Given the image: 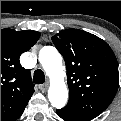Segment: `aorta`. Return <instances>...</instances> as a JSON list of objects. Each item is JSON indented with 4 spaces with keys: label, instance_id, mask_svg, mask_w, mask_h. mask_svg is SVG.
I'll return each mask as SVG.
<instances>
[{
    "label": "aorta",
    "instance_id": "aorta-1",
    "mask_svg": "<svg viewBox=\"0 0 121 121\" xmlns=\"http://www.w3.org/2000/svg\"><path fill=\"white\" fill-rule=\"evenodd\" d=\"M39 62L50 78L48 99L55 108H63L67 103L68 90L64 82L65 71L62 58L53 46H45L39 52Z\"/></svg>",
    "mask_w": 121,
    "mask_h": 121
}]
</instances>
